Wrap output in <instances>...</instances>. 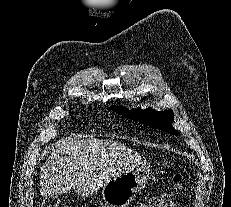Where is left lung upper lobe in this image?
I'll return each instance as SVG.
<instances>
[{
  "label": "left lung upper lobe",
  "mask_w": 231,
  "mask_h": 207,
  "mask_svg": "<svg viewBox=\"0 0 231 207\" xmlns=\"http://www.w3.org/2000/svg\"><path fill=\"white\" fill-rule=\"evenodd\" d=\"M111 108L125 117L139 121L151 128H158L171 134H178V132L172 127V122L174 120L172 110L157 112L151 108L145 110H129L122 106H112Z\"/></svg>",
  "instance_id": "5c2ea615"
}]
</instances>
